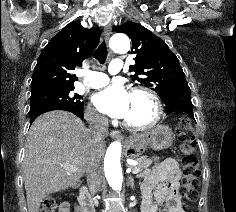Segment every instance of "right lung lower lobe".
<instances>
[{
	"label": "right lung lower lobe",
	"instance_id": "obj_1",
	"mask_svg": "<svg viewBox=\"0 0 236 212\" xmlns=\"http://www.w3.org/2000/svg\"><path fill=\"white\" fill-rule=\"evenodd\" d=\"M53 110H65L74 113L79 118H83V108L77 107H68V106H60L56 104H47V103H37L30 106L29 116H30V124L35 120L39 115Z\"/></svg>",
	"mask_w": 236,
	"mask_h": 212
}]
</instances>
